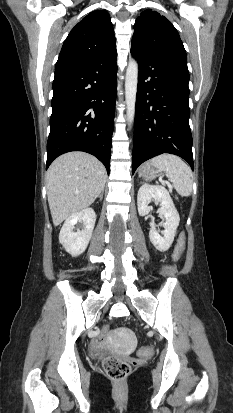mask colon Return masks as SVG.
<instances>
[{"mask_svg":"<svg viewBox=\"0 0 233 413\" xmlns=\"http://www.w3.org/2000/svg\"><path fill=\"white\" fill-rule=\"evenodd\" d=\"M184 244H185V235L182 233L174 249L173 255H172L173 261H177L182 255L183 250H184ZM151 354H152L151 347H142L139 349V355L142 357H146ZM103 368L106 374L108 375V377L114 381L124 380L128 376L131 370V366L129 363L123 360L117 359V358H113V357H109L104 360Z\"/></svg>","mask_w":233,"mask_h":413,"instance_id":"5ec220e1","label":"colon"}]
</instances>
